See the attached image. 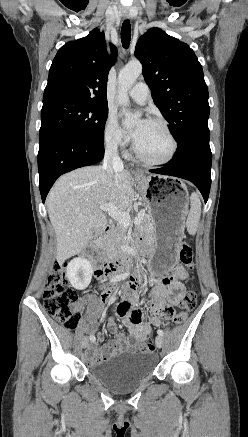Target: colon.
<instances>
[{
    "mask_svg": "<svg viewBox=\"0 0 248 437\" xmlns=\"http://www.w3.org/2000/svg\"><path fill=\"white\" fill-rule=\"evenodd\" d=\"M179 259L187 265L193 264V250L187 243L179 246ZM44 306L47 312L59 321L64 327L75 328L80 320V306L76 292L70 287L66 274L65 265L55 264L46 281L43 292ZM197 295L195 291H188L182 298L181 311L178 312L173 321L175 324H182L188 317V313L196 306ZM155 350L152 341L140 345L142 353H151Z\"/></svg>",
    "mask_w": 248,
    "mask_h": 437,
    "instance_id": "obj_1",
    "label": "colon"
}]
</instances>
